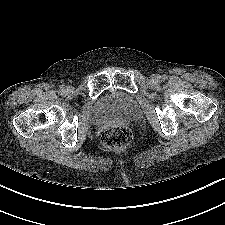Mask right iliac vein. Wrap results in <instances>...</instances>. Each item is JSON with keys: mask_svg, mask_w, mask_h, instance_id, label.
<instances>
[{"mask_svg": "<svg viewBox=\"0 0 225 225\" xmlns=\"http://www.w3.org/2000/svg\"><path fill=\"white\" fill-rule=\"evenodd\" d=\"M67 90H69V91H70V90H71V87H67Z\"/></svg>", "mask_w": 225, "mask_h": 225, "instance_id": "obj_1", "label": "right iliac vein"}]
</instances>
